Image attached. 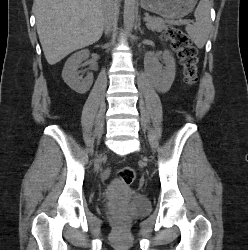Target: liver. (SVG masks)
Segmentation results:
<instances>
[{
  "instance_id": "obj_1",
  "label": "liver",
  "mask_w": 248,
  "mask_h": 250,
  "mask_svg": "<svg viewBox=\"0 0 248 250\" xmlns=\"http://www.w3.org/2000/svg\"><path fill=\"white\" fill-rule=\"evenodd\" d=\"M105 0H35L39 40L47 62L97 42L104 29Z\"/></svg>"
}]
</instances>
